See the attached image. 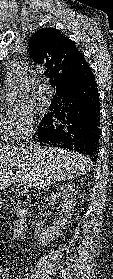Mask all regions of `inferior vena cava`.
I'll list each match as a JSON object with an SVG mask.
<instances>
[{"instance_id":"obj_1","label":"inferior vena cava","mask_w":113,"mask_h":279,"mask_svg":"<svg viewBox=\"0 0 113 279\" xmlns=\"http://www.w3.org/2000/svg\"><path fill=\"white\" fill-rule=\"evenodd\" d=\"M34 133V131L33 130H31L28 134H26L25 135V137H24V145H22V146H24V147H27V148H32L33 147V142H32V134Z\"/></svg>"}]
</instances>
